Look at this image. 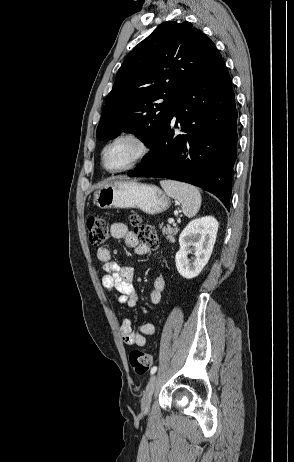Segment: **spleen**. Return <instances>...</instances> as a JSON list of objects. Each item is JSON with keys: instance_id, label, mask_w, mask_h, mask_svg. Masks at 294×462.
<instances>
[{"instance_id": "obj_1", "label": "spleen", "mask_w": 294, "mask_h": 462, "mask_svg": "<svg viewBox=\"0 0 294 462\" xmlns=\"http://www.w3.org/2000/svg\"><path fill=\"white\" fill-rule=\"evenodd\" d=\"M160 185L168 196L181 203L185 216L191 218L197 214L201 206V194L196 187L172 180H162Z\"/></svg>"}]
</instances>
